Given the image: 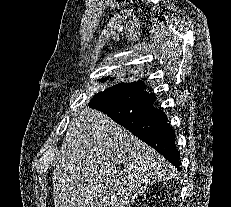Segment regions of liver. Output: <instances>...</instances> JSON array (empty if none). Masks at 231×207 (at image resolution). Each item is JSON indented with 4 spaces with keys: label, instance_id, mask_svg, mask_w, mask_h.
Masks as SVG:
<instances>
[{
    "label": "liver",
    "instance_id": "6515ba94",
    "mask_svg": "<svg viewBox=\"0 0 231 207\" xmlns=\"http://www.w3.org/2000/svg\"><path fill=\"white\" fill-rule=\"evenodd\" d=\"M169 163L104 113L85 108L71 120L53 171L55 207H129L170 177Z\"/></svg>",
    "mask_w": 231,
    "mask_h": 207
}]
</instances>
